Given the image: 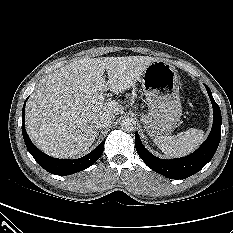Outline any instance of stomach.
Returning a JSON list of instances; mask_svg holds the SVG:
<instances>
[{"label": "stomach", "mask_w": 233, "mask_h": 233, "mask_svg": "<svg viewBox=\"0 0 233 233\" xmlns=\"http://www.w3.org/2000/svg\"><path fill=\"white\" fill-rule=\"evenodd\" d=\"M141 82L148 104L142 121L148 135L172 131L182 115L176 69L164 60H156L147 66Z\"/></svg>", "instance_id": "obj_1"}]
</instances>
